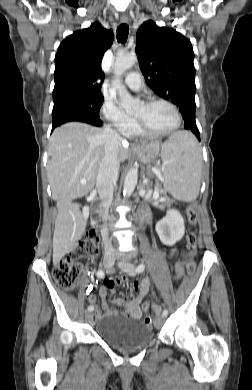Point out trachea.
Instances as JSON below:
<instances>
[{"mask_svg":"<svg viewBox=\"0 0 252 390\" xmlns=\"http://www.w3.org/2000/svg\"><path fill=\"white\" fill-rule=\"evenodd\" d=\"M128 33H129V26L126 24H121L117 28V41L122 44L125 43L128 38Z\"/></svg>","mask_w":252,"mask_h":390,"instance_id":"obj_1","label":"trachea"}]
</instances>
